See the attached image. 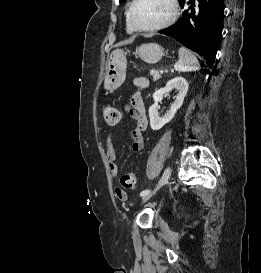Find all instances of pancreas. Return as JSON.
I'll list each match as a JSON object with an SVG mask.
<instances>
[{
	"label": "pancreas",
	"instance_id": "obj_1",
	"mask_svg": "<svg viewBox=\"0 0 261 273\" xmlns=\"http://www.w3.org/2000/svg\"><path fill=\"white\" fill-rule=\"evenodd\" d=\"M150 75L153 77L154 81H157V80H159L161 78V74L159 73V71L154 70V69H152L150 71Z\"/></svg>",
	"mask_w": 261,
	"mask_h": 273
}]
</instances>
